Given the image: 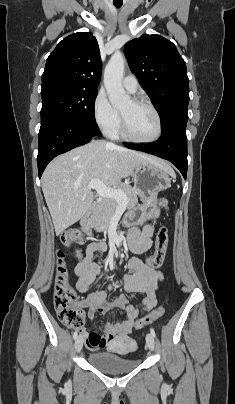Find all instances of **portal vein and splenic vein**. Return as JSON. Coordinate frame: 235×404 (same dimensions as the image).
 Returning a JSON list of instances; mask_svg holds the SVG:
<instances>
[{
  "label": "portal vein and splenic vein",
  "mask_w": 235,
  "mask_h": 404,
  "mask_svg": "<svg viewBox=\"0 0 235 404\" xmlns=\"http://www.w3.org/2000/svg\"><path fill=\"white\" fill-rule=\"evenodd\" d=\"M89 188L95 189L97 193L104 198H114L122 205L127 204V197L126 195L118 189H113L107 187L102 181L97 179H92L88 185Z\"/></svg>",
  "instance_id": "18ae733b"
}]
</instances>
